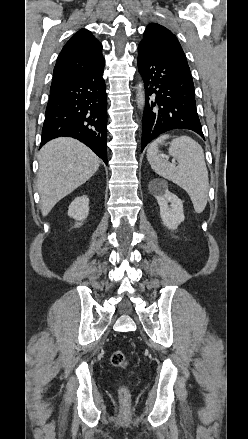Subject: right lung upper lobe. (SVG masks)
<instances>
[{"mask_svg": "<svg viewBox=\"0 0 248 439\" xmlns=\"http://www.w3.org/2000/svg\"><path fill=\"white\" fill-rule=\"evenodd\" d=\"M101 43L86 29L65 44L54 67L51 88L77 78L104 63Z\"/></svg>", "mask_w": 248, "mask_h": 439, "instance_id": "obj_1", "label": "right lung upper lobe"}]
</instances>
